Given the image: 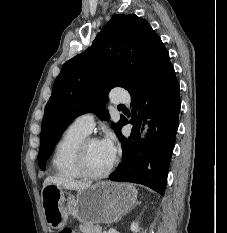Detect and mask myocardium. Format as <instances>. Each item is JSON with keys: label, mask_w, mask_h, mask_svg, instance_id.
I'll use <instances>...</instances> for the list:
<instances>
[{"label": "myocardium", "mask_w": 227, "mask_h": 233, "mask_svg": "<svg viewBox=\"0 0 227 233\" xmlns=\"http://www.w3.org/2000/svg\"><path fill=\"white\" fill-rule=\"evenodd\" d=\"M92 141H98V139L93 137H86L79 145L77 152H76V158H75V164L78 172L81 174L82 177L89 178V179H101L107 177L115 168L118 159L116 156H114L111 164L101 172H94L92 171L87 163V151L88 146Z\"/></svg>", "instance_id": "myocardium-1"}]
</instances>
